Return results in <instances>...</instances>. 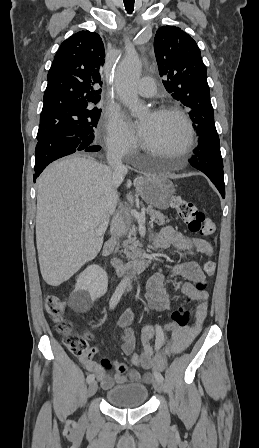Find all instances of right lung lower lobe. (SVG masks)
<instances>
[{
	"mask_svg": "<svg viewBox=\"0 0 259 448\" xmlns=\"http://www.w3.org/2000/svg\"><path fill=\"white\" fill-rule=\"evenodd\" d=\"M99 145L84 147L81 140L74 136H53L38 141L35 149L34 182L45 167L56 159L75 152H97Z\"/></svg>",
	"mask_w": 259,
	"mask_h": 448,
	"instance_id": "right-lung-lower-lobe-1",
	"label": "right lung lower lobe"
}]
</instances>
